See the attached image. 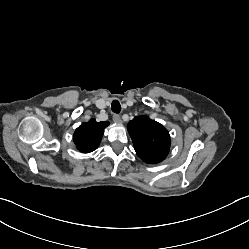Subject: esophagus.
<instances>
[{
	"mask_svg": "<svg viewBox=\"0 0 249 249\" xmlns=\"http://www.w3.org/2000/svg\"><path fill=\"white\" fill-rule=\"evenodd\" d=\"M113 121L116 123H121V117L118 114H114Z\"/></svg>",
	"mask_w": 249,
	"mask_h": 249,
	"instance_id": "esophagus-1",
	"label": "esophagus"
}]
</instances>
